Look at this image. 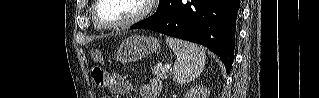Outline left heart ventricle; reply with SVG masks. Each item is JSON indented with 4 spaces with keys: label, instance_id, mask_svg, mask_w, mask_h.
I'll return each mask as SVG.
<instances>
[{
    "label": "left heart ventricle",
    "instance_id": "1",
    "mask_svg": "<svg viewBox=\"0 0 319 98\" xmlns=\"http://www.w3.org/2000/svg\"><path fill=\"white\" fill-rule=\"evenodd\" d=\"M140 8L138 0H102L98 14L104 23L112 24L132 17Z\"/></svg>",
    "mask_w": 319,
    "mask_h": 98
}]
</instances>
